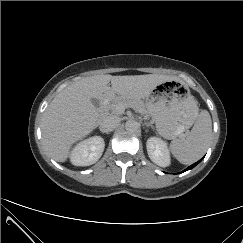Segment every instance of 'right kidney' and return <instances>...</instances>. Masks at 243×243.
I'll return each mask as SVG.
<instances>
[{
  "instance_id": "ca27d5eb",
  "label": "right kidney",
  "mask_w": 243,
  "mask_h": 243,
  "mask_svg": "<svg viewBox=\"0 0 243 243\" xmlns=\"http://www.w3.org/2000/svg\"><path fill=\"white\" fill-rule=\"evenodd\" d=\"M105 142L100 136H94L78 143L70 154V161L75 166H89L96 163L104 151Z\"/></svg>"
}]
</instances>
